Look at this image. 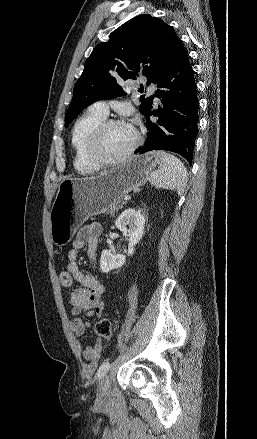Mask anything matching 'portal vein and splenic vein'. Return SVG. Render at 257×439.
<instances>
[{
  "label": "portal vein and splenic vein",
  "mask_w": 257,
  "mask_h": 439,
  "mask_svg": "<svg viewBox=\"0 0 257 439\" xmlns=\"http://www.w3.org/2000/svg\"><path fill=\"white\" fill-rule=\"evenodd\" d=\"M131 199V197L129 196V195H126L125 197H124V200L125 201H128V200H130Z\"/></svg>",
  "instance_id": "portal-vein-and-splenic-vein-1"
}]
</instances>
